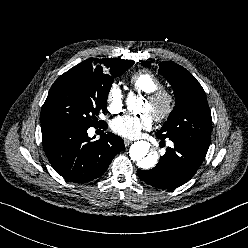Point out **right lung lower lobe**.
<instances>
[{
  "mask_svg": "<svg viewBox=\"0 0 248 248\" xmlns=\"http://www.w3.org/2000/svg\"><path fill=\"white\" fill-rule=\"evenodd\" d=\"M88 128L62 124L41 127L47 158L58 174L72 182H88L102 176L125 147L122 138L110 132L91 141L94 137H88Z\"/></svg>",
  "mask_w": 248,
  "mask_h": 248,
  "instance_id": "98d812e1",
  "label": "right lung lower lobe"
}]
</instances>
